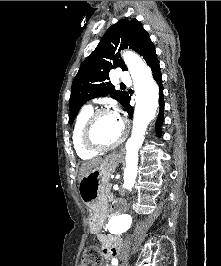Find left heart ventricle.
Listing matches in <instances>:
<instances>
[{
  "label": "left heart ventricle",
  "instance_id": "obj_1",
  "mask_svg": "<svg viewBox=\"0 0 221 266\" xmlns=\"http://www.w3.org/2000/svg\"><path fill=\"white\" fill-rule=\"evenodd\" d=\"M122 132V123L112 113L101 115L95 124L94 139L103 144H109L118 139Z\"/></svg>",
  "mask_w": 221,
  "mask_h": 266
}]
</instances>
